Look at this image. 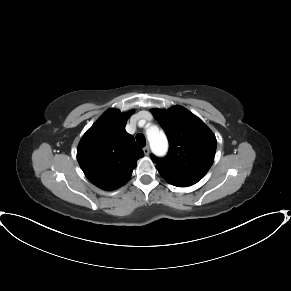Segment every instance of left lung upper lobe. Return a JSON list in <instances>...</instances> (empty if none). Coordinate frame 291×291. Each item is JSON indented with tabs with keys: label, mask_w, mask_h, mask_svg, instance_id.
Instances as JSON below:
<instances>
[{
	"label": "left lung upper lobe",
	"mask_w": 291,
	"mask_h": 291,
	"mask_svg": "<svg viewBox=\"0 0 291 291\" xmlns=\"http://www.w3.org/2000/svg\"><path fill=\"white\" fill-rule=\"evenodd\" d=\"M152 113L166 132L169 153L165 158L151 156L161 176L177 187L197 183L210 169L217 147L213 132L187 109L174 106Z\"/></svg>",
	"instance_id": "obj_1"
}]
</instances>
